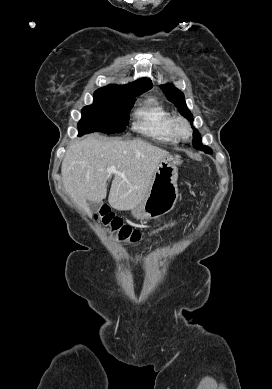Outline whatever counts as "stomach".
<instances>
[{
  "mask_svg": "<svg viewBox=\"0 0 272 389\" xmlns=\"http://www.w3.org/2000/svg\"><path fill=\"white\" fill-rule=\"evenodd\" d=\"M179 156L168 155L156 168L149 190L135 208L131 209L136 219H156L174 207L178 199V165Z\"/></svg>",
  "mask_w": 272,
  "mask_h": 389,
  "instance_id": "stomach-1",
  "label": "stomach"
}]
</instances>
